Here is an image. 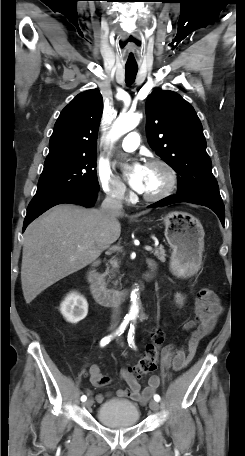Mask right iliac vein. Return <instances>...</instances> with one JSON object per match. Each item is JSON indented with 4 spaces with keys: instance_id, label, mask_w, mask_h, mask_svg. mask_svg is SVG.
I'll list each match as a JSON object with an SVG mask.
<instances>
[{
    "instance_id": "obj_1",
    "label": "right iliac vein",
    "mask_w": 245,
    "mask_h": 456,
    "mask_svg": "<svg viewBox=\"0 0 245 456\" xmlns=\"http://www.w3.org/2000/svg\"><path fill=\"white\" fill-rule=\"evenodd\" d=\"M92 404H93V400H92V399H88L86 402H84V406H85L86 408L91 407Z\"/></svg>"
}]
</instances>
